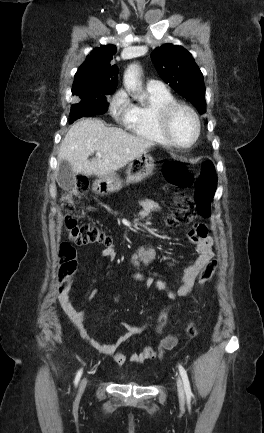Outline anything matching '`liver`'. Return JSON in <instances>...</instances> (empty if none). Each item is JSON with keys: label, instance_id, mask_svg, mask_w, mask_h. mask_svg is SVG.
Wrapping results in <instances>:
<instances>
[{"label": "liver", "instance_id": "6515ba94", "mask_svg": "<svg viewBox=\"0 0 264 433\" xmlns=\"http://www.w3.org/2000/svg\"><path fill=\"white\" fill-rule=\"evenodd\" d=\"M153 146V142L121 128L107 127L101 120L81 119L69 128L62 140L58 162L67 160L74 173L105 178ZM94 152H99L101 157L89 161Z\"/></svg>", "mask_w": 264, "mask_h": 433}]
</instances>
